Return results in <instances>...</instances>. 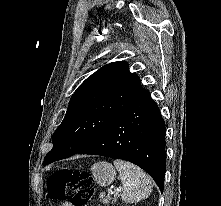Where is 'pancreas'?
Segmentation results:
<instances>
[{
    "label": "pancreas",
    "mask_w": 221,
    "mask_h": 206,
    "mask_svg": "<svg viewBox=\"0 0 221 206\" xmlns=\"http://www.w3.org/2000/svg\"><path fill=\"white\" fill-rule=\"evenodd\" d=\"M118 192H114L112 195L110 193L107 194V196H104L103 194L100 195V201L105 204L109 205L110 203H115L117 198L119 197Z\"/></svg>",
    "instance_id": "pancreas-1"
}]
</instances>
